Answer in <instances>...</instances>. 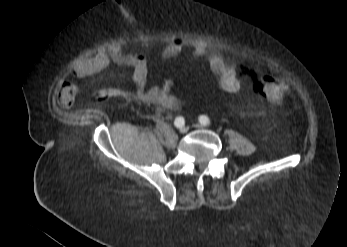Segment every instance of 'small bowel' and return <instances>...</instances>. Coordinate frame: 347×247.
I'll return each instance as SVG.
<instances>
[{
  "label": "small bowel",
  "mask_w": 347,
  "mask_h": 247,
  "mask_svg": "<svg viewBox=\"0 0 347 247\" xmlns=\"http://www.w3.org/2000/svg\"><path fill=\"white\" fill-rule=\"evenodd\" d=\"M187 47V43L181 38L169 40L162 55L170 58L181 53ZM192 55L196 58L206 57L211 72L215 75L219 87L228 94H238L245 84L252 85L257 93L258 84H253L248 76L240 75L238 67L233 61L227 60L214 47L204 44L192 46ZM127 65L132 69V80L135 85L133 91H127L117 87L108 88V92L134 99L143 104H151L156 107L148 118L155 122L163 119V111L177 110L185 105V102L172 93L173 81L165 79L159 85L146 88L148 66L145 55L142 52L124 53L120 46L109 49H100L89 57L78 60L73 66V73L78 78H86L107 68L111 63ZM77 87L65 84L57 94V104L61 109H69L73 106L77 95Z\"/></svg>",
  "instance_id": "1"
}]
</instances>
